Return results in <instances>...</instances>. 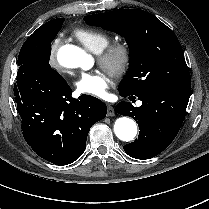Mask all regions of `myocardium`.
Wrapping results in <instances>:
<instances>
[{
	"label": "myocardium",
	"mask_w": 209,
	"mask_h": 209,
	"mask_svg": "<svg viewBox=\"0 0 209 209\" xmlns=\"http://www.w3.org/2000/svg\"><path fill=\"white\" fill-rule=\"evenodd\" d=\"M131 59V49L123 41H114L99 52L98 61L112 76L122 74L128 67Z\"/></svg>",
	"instance_id": "f54148a6"
}]
</instances>
